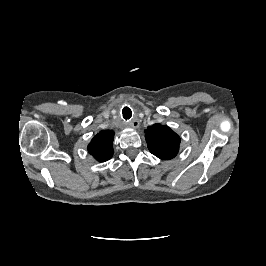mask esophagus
I'll list each match as a JSON object with an SVG mask.
<instances>
[{
	"label": "esophagus",
	"instance_id": "34e87169",
	"mask_svg": "<svg viewBox=\"0 0 266 266\" xmlns=\"http://www.w3.org/2000/svg\"><path fill=\"white\" fill-rule=\"evenodd\" d=\"M129 125H130L131 127H133V128H139L140 123H139L138 120L135 119V120H133L132 122H130Z\"/></svg>",
	"mask_w": 266,
	"mask_h": 266
}]
</instances>
